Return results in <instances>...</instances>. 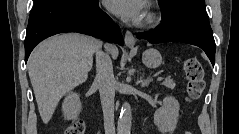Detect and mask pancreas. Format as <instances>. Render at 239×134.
Here are the masks:
<instances>
[{
	"instance_id": "cf45deb5",
	"label": "pancreas",
	"mask_w": 239,
	"mask_h": 134,
	"mask_svg": "<svg viewBox=\"0 0 239 134\" xmlns=\"http://www.w3.org/2000/svg\"><path fill=\"white\" fill-rule=\"evenodd\" d=\"M162 85L165 86L168 89H174L175 86H176L174 80H172L170 78L164 79V81L162 82Z\"/></svg>"
}]
</instances>
